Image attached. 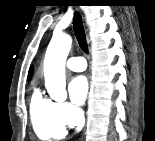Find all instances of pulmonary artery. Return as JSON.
<instances>
[{"label":"pulmonary artery","instance_id":"1","mask_svg":"<svg viewBox=\"0 0 155 141\" xmlns=\"http://www.w3.org/2000/svg\"><path fill=\"white\" fill-rule=\"evenodd\" d=\"M86 61L83 57H71L67 61V67L73 71H83L86 69Z\"/></svg>","mask_w":155,"mask_h":141}]
</instances>
